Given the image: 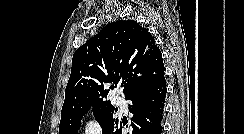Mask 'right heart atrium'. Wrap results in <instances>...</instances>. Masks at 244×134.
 <instances>
[{"label": "right heart atrium", "mask_w": 244, "mask_h": 134, "mask_svg": "<svg viewBox=\"0 0 244 134\" xmlns=\"http://www.w3.org/2000/svg\"><path fill=\"white\" fill-rule=\"evenodd\" d=\"M81 134H103L102 124L96 118H90L84 123Z\"/></svg>", "instance_id": "1"}]
</instances>
